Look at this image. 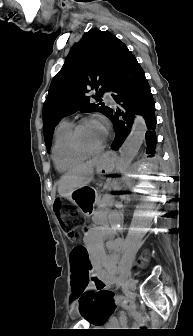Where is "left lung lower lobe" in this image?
Returning a JSON list of instances; mask_svg holds the SVG:
<instances>
[{"instance_id": "1", "label": "left lung lower lobe", "mask_w": 193, "mask_h": 336, "mask_svg": "<svg viewBox=\"0 0 193 336\" xmlns=\"http://www.w3.org/2000/svg\"><path fill=\"white\" fill-rule=\"evenodd\" d=\"M112 97L123 110L112 109L109 118L113 122L115 139L111 148L118 150L131 131L134 115L141 114L148 131L145 134L146 151L152 157L157 138L155 134V103L144 71L135 56L125 48L120 59L111 90Z\"/></svg>"}]
</instances>
